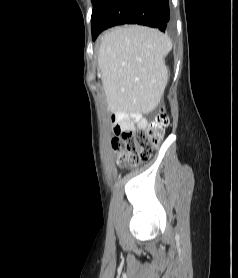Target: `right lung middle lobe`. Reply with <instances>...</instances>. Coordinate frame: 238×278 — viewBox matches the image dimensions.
<instances>
[{"mask_svg": "<svg viewBox=\"0 0 238 278\" xmlns=\"http://www.w3.org/2000/svg\"><path fill=\"white\" fill-rule=\"evenodd\" d=\"M96 1H97V0H92L93 5H94V3H95Z\"/></svg>", "mask_w": 238, "mask_h": 278, "instance_id": "obj_1", "label": "right lung middle lobe"}]
</instances>
